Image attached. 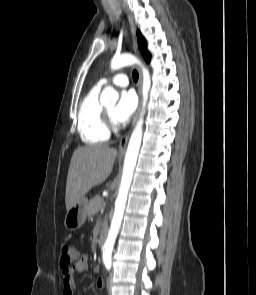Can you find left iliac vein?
<instances>
[{
	"mask_svg": "<svg viewBox=\"0 0 256 295\" xmlns=\"http://www.w3.org/2000/svg\"><path fill=\"white\" fill-rule=\"evenodd\" d=\"M113 285V282H112V274L110 273L108 278H107V289H108V292L109 294H111V287Z\"/></svg>",
	"mask_w": 256,
	"mask_h": 295,
	"instance_id": "4c4485c4",
	"label": "left iliac vein"
}]
</instances>
